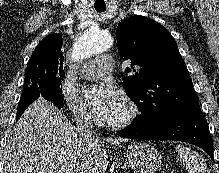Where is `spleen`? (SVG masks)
I'll return each instance as SVG.
<instances>
[{"label": "spleen", "mask_w": 219, "mask_h": 173, "mask_svg": "<svg viewBox=\"0 0 219 173\" xmlns=\"http://www.w3.org/2000/svg\"><path fill=\"white\" fill-rule=\"evenodd\" d=\"M177 152L189 173H207V167L197 153L182 145L177 146Z\"/></svg>", "instance_id": "3e777b00"}]
</instances>
